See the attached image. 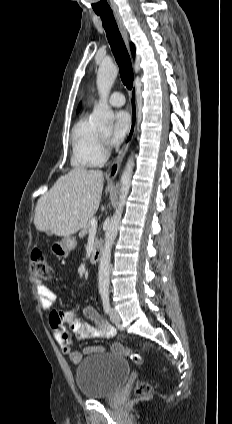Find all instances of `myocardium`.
Here are the masks:
<instances>
[{"mask_svg": "<svg viewBox=\"0 0 232 424\" xmlns=\"http://www.w3.org/2000/svg\"><path fill=\"white\" fill-rule=\"evenodd\" d=\"M100 138H101V141L104 142L105 139H106V136H104L102 133H100Z\"/></svg>", "mask_w": 232, "mask_h": 424, "instance_id": "obj_1", "label": "myocardium"}]
</instances>
